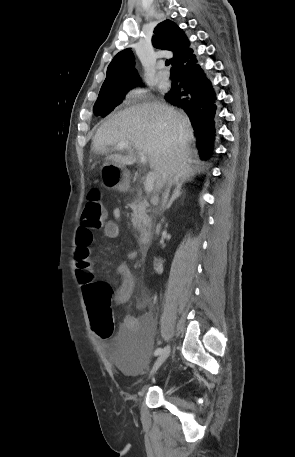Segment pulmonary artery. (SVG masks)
<instances>
[{
    "label": "pulmonary artery",
    "mask_w": 295,
    "mask_h": 457,
    "mask_svg": "<svg viewBox=\"0 0 295 457\" xmlns=\"http://www.w3.org/2000/svg\"><path fill=\"white\" fill-rule=\"evenodd\" d=\"M159 74H160V78H161L162 80H165V81H166V80H169V78H170L169 72L166 71L165 69H163V66L161 67V71H160Z\"/></svg>",
    "instance_id": "e3ab8cb5"
}]
</instances>
